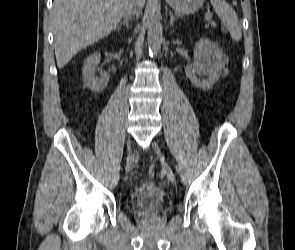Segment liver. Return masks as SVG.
<instances>
[{
	"label": "liver",
	"instance_id": "liver-1",
	"mask_svg": "<svg viewBox=\"0 0 295 250\" xmlns=\"http://www.w3.org/2000/svg\"><path fill=\"white\" fill-rule=\"evenodd\" d=\"M128 0H54L52 27L57 66L62 69L80 50L109 35ZM145 0H141V7Z\"/></svg>",
	"mask_w": 295,
	"mask_h": 250
}]
</instances>
